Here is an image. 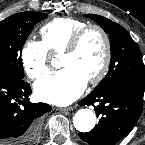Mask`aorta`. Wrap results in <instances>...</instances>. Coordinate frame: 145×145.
I'll return each mask as SVG.
<instances>
[{"instance_id": "1", "label": "aorta", "mask_w": 145, "mask_h": 145, "mask_svg": "<svg viewBox=\"0 0 145 145\" xmlns=\"http://www.w3.org/2000/svg\"><path fill=\"white\" fill-rule=\"evenodd\" d=\"M52 64L56 66L57 61H52ZM73 124L76 130L89 132L95 127L96 115L90 109H80L74 115Z\"/></svg>"}]
</instances>
